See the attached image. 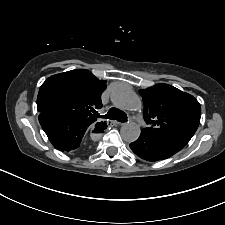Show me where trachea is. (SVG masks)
I'll list each match as a JSON object with an SVG mask.
<instances>
[{"mask_svg":"<svg viewBox=\"0 0 225 225\" xmlns=\"http://www.w3.org/2000/svg\"><path fill=\"white\" fill-rule=\"evenodd\" d=\"M94 115L98 118H105L111 120H117L119 122H127V115L122 110L117 108H110L107 114L101 116L98 112H95Z\"/></svg>","mask_w":225,"mask_h":225,"instance_id":"trachea-1","label":"trachea"}]
</instances>
